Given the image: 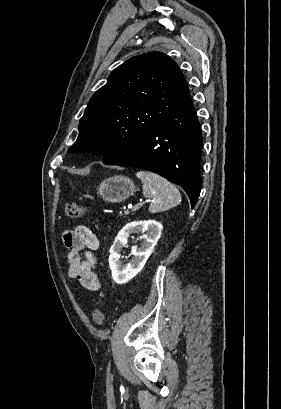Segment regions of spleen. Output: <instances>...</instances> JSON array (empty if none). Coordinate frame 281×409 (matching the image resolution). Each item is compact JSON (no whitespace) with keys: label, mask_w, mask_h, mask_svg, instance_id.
I'll use <instances>...</instances> for the list:
<instances>
[{"label":"spleen","mask_w":281,"mask_h":409,"mask_svg":"<svg viewBox=\"0 0 281 409\" xmlns=\"http://www.w3.org/2000/svg\"><path fill=\"white\" fill-rule=\"evenodd\" d=\"M136 176L141 178L143 182L142 192L144 196L152 198L149 207L150 213H161V211H168V209L180 205L182 198L178 188L163 176L149 172V170H139L136 172Z\"/></svg>","instance_id":"3e777b00"}]
</instances>
